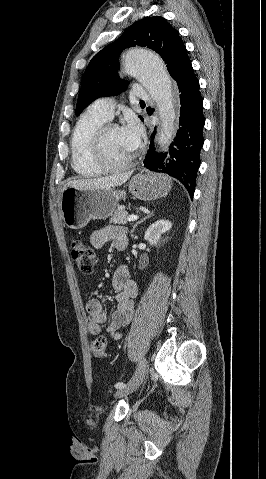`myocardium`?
<instances>
[{
    "instance_id": "obj_1",
    "label": "myocardium",
    "mask_w": 266,
    "mask_h": 479,
    "mask_svg": "<svg viewBox=\"0 0 266 479\" xmlns=\"http://www.w3.org/2000/svg\"><path fill=\"white\" fill-rule=\"evenodd\" d=\"M120 129L117 124L105 123L101 125L94 133L91 143V158L92 161L101 168L104 172H117L124 170L131 166L134 161V155L120 164L110 162L104 151V141L107 133L111 130Z\"/></svg>"
}]
</instances>
